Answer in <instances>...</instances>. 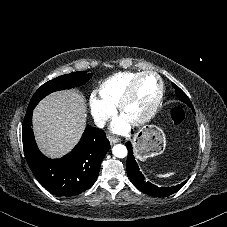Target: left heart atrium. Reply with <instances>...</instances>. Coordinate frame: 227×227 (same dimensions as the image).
<instances>
[{
	"mask_svg": "<svg viewBox=\"0 0 227 227\" xmlns=\"http://www.w3.org/2000/svg\"><path fill=\"white\" fill-rule=\"evenodd\" d=\"M127 129V125L124 122H119L113 125V130L116 132H124Z\"/></svg>",
	"mask_w": 227,
	"mask_h": 227,
	"instance_id": "left-heart-atrium-1",
	"label": "left heart atrium"
}]
</instances>
